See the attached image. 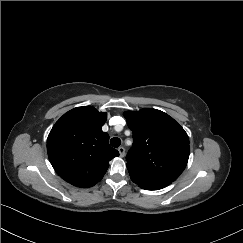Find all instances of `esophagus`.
<instances>
[{
	"mask_svg": "<svg viewBox=\"0 0 243 243\" xmlns=\"http://www.w3.org/2000/svg\"><path fill=\"white\" fill-rule=\"evenodd\" d=\"M118 151H119L120 157H124L125 156V149H124V147H122V146L119 147Z\"/></svg>",
	"mask_w": 243,
	"mask_h": 243,
	"instance_id": "obj_1",
	"label": "esophagus"
}]
</instances>
